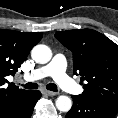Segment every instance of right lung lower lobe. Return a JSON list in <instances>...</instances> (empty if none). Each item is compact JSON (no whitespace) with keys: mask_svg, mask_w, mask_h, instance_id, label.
Returning <instances> with one entry per match:
<instances>
[{"mask_svg":"<svg viewBox=\"0 0 118 118\" xmlns=\"http://www.w3.org/2000/svg\"><path fill=\"white\" fill-rule=\"evenodd\" d=\"M40 91H33L30 98L23 104L11 110L1 118H30L36 102L40 99Z\"/></svg>","mask_w":118,"mask_h":118,"instance_id":"right-lung-lower-lobe-1","label":"right lung lower lobe"}]
</instances>
